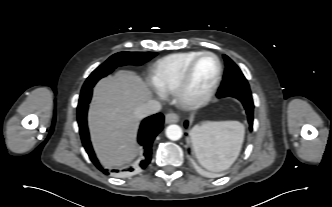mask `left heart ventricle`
<instances>
[{
  "label": "left heart ventricle",
  "instance_id": "obj_1",
  "mask_svg": "<svg viewBox=\"0 0 332 207\" xmlns=\"http://www.w3.org/2000/svg\"><path fill=\"white\" fill-rule=\"evenodd\" d=\"M217 72V62L211 56L202 58L196 65L191 79L190 93L200 95L211 86Z\"/></svg>",
  "mask_w": 332,
  "mask_h": 207
}]
</instances>
